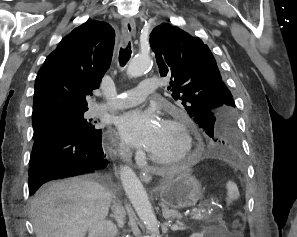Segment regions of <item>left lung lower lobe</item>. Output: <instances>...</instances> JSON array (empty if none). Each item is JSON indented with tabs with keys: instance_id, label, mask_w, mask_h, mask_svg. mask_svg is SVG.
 <instances>
[{
	"instance_id": "0a47b994",
	"label": "left lung lower lobe",
	"mask_w": 297,
	"mask_h": 237,
	"mask_svg": "<svg viewBox=\"0 0 297 237\" xmlns=\"http://www.w3.org/2000/svg\"><path fill=\"white\" fill-rule=\"evenodd\" d=\"M197 153H202V155H207V156H217V157H225L228 158L230 156L225 155L218 144L210 142V143H205V146H201L198 150Z\"/></svg>"
}]
</instances>
